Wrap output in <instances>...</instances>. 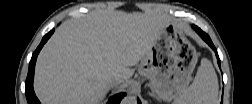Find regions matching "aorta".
I'll return each mask as SVG.
<instances>
[{"mask_svg": "<svg viewBox=\"0 0 252 104\" xmlns=\"http://www.w3.org/2000/svg\"><path fill=\"white\" fill-rule=\"evenodd\" d=\"M136 102V99L135 97L133 96H126L124 99H123V103L124 104H134Z\"/></svg>", "mask_w": 252, "mask_h": 104, "instance_id": "762f6f07", "label": "aorta"}]
</instances>
